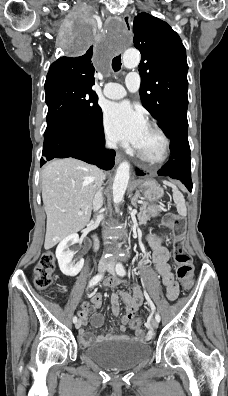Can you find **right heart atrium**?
Returning a JSON list of instances; mask_svg holds the SVG:
<instances>
[{
	"label": "right heart atrium",
	"mask_w": 228,
	"mask_h": 396,
	"mask_svg": "<svg viewBox=\"0 0 228 396\" xmlns=\"http://www.w3.org/2000/svg\"><path fill=\"white\" fill-rule=\"evenodd\" d=\"M105 141H106V144H107L109 147H113V146H114V143H113V141L111 140V138L108 136V134H105Z\"/></svg>",
	"instance_id": "obj_1"
}]
</instances>
